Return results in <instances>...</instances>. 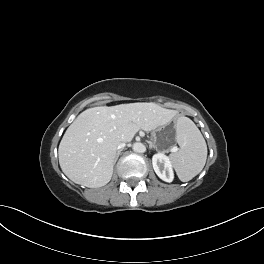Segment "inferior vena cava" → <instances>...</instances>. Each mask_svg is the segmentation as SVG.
<instances>
[{
    "instance_id": "obj_1",
    "label": "inferior vena cava",
    "mask_w": 264,
    "mask_h": 264,
    "mask_svg": "<svg viewBox=\"0 0 264 264\" xmlns=\"http://www.w3.org/2000/svg\"><path fill=\"white\" fill-rule=\"evenodd\" d=\"M124 146H125V142L121 141V142L118 143V145H117V149H121V148H123Z\"/></svg>"
}]
</instances>
